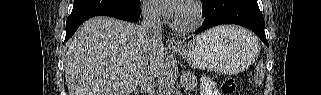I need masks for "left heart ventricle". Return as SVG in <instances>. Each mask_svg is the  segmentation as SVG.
<instances>
[{
    "label": "left heart ventricle",
    "instance_id": "obj_1",
    "mask_svg": "<svg viewBox=\"0 0 321 95\" xmlns=\"http://www.w3.org/2000/svg\"><path fill=\"white\" fill-rule=\"evenodd\" d=\"M180 20H182L183 22L187 21V17L184 13H182L180 16H178Z\"/></svg>",
    "mask_w": 321,
    "mask_h": 95
}]
</instances>
